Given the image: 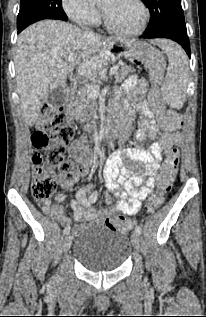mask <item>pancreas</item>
<instances>
[{
    "instance_id": "pancreas-1",
    "label": "pancreas",
    "mask_w": 206,
    "mask_h": 317,
    "mask_svg": "<svg viewBox=\"0 0 206 317\" xmlns=\"http://www.w3.org/2000/svg\"><path fill=\"white\" fill-rule=\"evenodd\" d=\"M134 72V68L127 66L126 62H121V65L119 66L118 70L114 74L115 80L117 83L124 80L126 77L130 75V73ZM85 74H87L85 72ZM87 75L92 76V72H89ZM94 88H100V81L94 80ZM92 87V86H91ZM73 106L75 107V116L76 119L81 121H86L89 118H91L92 114L95 110V104H96V98L93 96H90L86 88H79L76 89L74 92V96L72 99Z\"/></svg>"
}]
</instances>
